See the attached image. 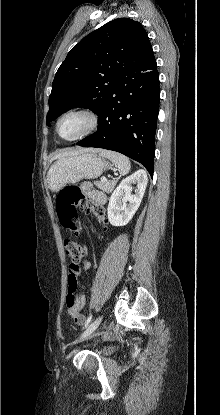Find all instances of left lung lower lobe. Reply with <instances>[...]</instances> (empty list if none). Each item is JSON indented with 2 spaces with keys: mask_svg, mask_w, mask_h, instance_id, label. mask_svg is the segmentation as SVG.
<instances>
[{
  "mask_svg": "<svg viewBox=\"0 0 220 415\" xmlns=\"http://www.w3.org/2000/svg\"><path fill=\"white\" fill-rule=\"evenodd\" d=\"M160 87L155 57L121 75L98 113V130L82 147L120 152L143 164L153 176Z\"/></svg>",
  "mask_w": 220,
  "mask_h": 415,
  "instance_id": "0a47b994",
  "label": "left lung lower lobe"
}]
</instances>
